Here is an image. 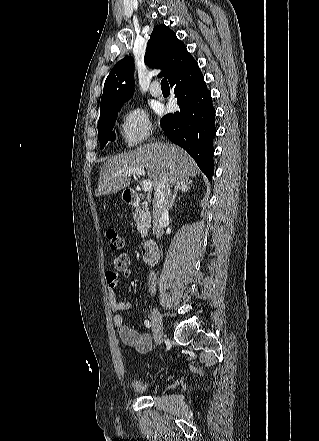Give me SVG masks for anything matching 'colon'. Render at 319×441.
Returning <instances> with one entry per match:
<instances>
[{"mask_svg":"<svg viewBox=\"0 0 319 441\" xmlns=\"http://www.w3.org/2000/svg\"><path fill=\"white\" fill-rule=\"evenodd\" d=\"M106 236L108 239V245L109 248L113 251H118L124 248L125 241L123 237L115 230V229H108L106 231Z\"/></svg>","mask_w":319,"mask_h":441,"instance_id":"5ec220e1","label":"colon"}]
</instances>
